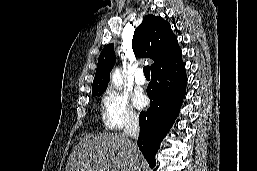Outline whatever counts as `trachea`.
Returning <instances> with one entry per match:
<instances>
[{
	"instance_id": "trachea-1",
	"label": "trachea",
	"mask_w": 257,
	"mask_h": 171,
	"mask_svg": "<svg viewBox=\"0 0 257 171\" xmlns=\"http://www.w3.org/2000/svg\"><path fill=\"white\" fill-rule=\"evenodd\" d=\"M143 71H144L145 77H150V67L148 65L144 66Z\"/></svg>"
}]
</instances>
